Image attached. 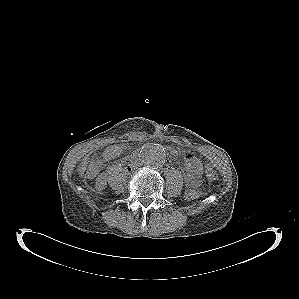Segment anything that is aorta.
Instances as JSON below:
<instances>
[{
	"mask_svg": "<svg viewBox=\"0 0 299 299\" xmlns=\"http://www.w3.org/2000/svg\"><path fill=\"white\" fill-rule=\"evenodd\" d=\"M139 157L145 166L149 168H159L165 161V151L158 144L148 143L139 152Z\"/></svg>",
	"mask_w": 299,
	"mask_h": 299,
	"instance_id": "1",
	"label": "aorta"
}]
</instances>
